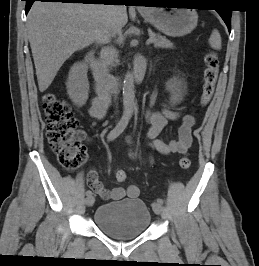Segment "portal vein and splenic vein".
Masks as SVG:
<instances>
[{
	"label": "portal vein and splenic vein",
	"mask_w": 259,
	"mask_h": 266,
	"mask_svg": "<svg viewBox=\"0 0 259 266\" xmlns=\"http://www.w3.org/2000/svg\"><path fill=\"white\" fill-rule=\"evenodd\" d=\"M152 42H154V38L153 37L149 38L146 43H147V45H149Z\"/></svg>",
	"instance_id": "portal-vein-and-splenic-vein-1"
}]
</instances>
